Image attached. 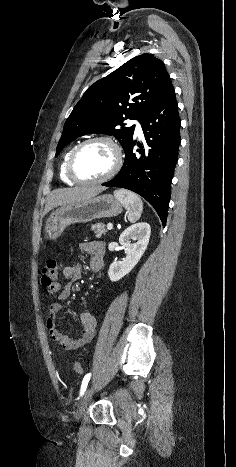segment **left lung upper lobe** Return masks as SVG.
Instances as JSON below:
<instances>
[{"label":"left lung upper lobe","instance_id":"left-lung-upper-lobe-1","mask_svg":"<svg viewBox=\"0 0 236 467\" xmlns=\"http://www.w3.org/2000/svg\"><path fill=\"white\" fill-rule=\"evenodd\" d=\"M172 87L163 62L151 54L136 56L98 80L84 93L65 122L56 156L71 141L89 133L113 135L124 148L135 125Z\"/></svg>","mask_w":236,"mask_h":467}]
</instances>
